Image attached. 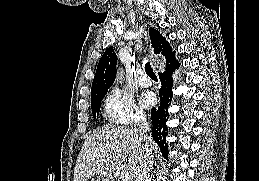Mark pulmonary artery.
Listing matches in <instances>:
<instances>
[{
  "label": "pulmonary artery",
  "instance_id": "e3ab8cb5",
  "mask_svg": "<svg viewBox=\"0 0 259 181\" xmlns=\"http://www.w3.org/2000/svg\"><path fill=\"white\" fill-rule=\"evenodd\" d=\"M138 83L142 87H149L151 86V80L146 76L144 71H141L139 77H138Z\"/></svg>",
  "mask_w": 259,
  "mask_h": 181
}]
</instances>
